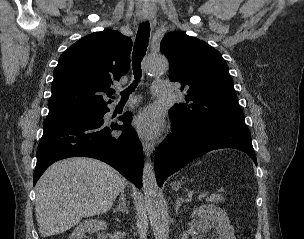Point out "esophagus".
Returning a JSON list of instances; mask_svg holds the SVG:
<instances>
[{
    "mask_svg": "<svg viewBox=\"0 0 304 239\" xmlns=\"http://www.w3.org/2000/svg\"><path fill=\"white\" fill-rule=\"evenodd\" d=\"M143 21H146V19H143ZM142 147L146 156L152 155L155 149L154 144L148 141H142Z\"/></svg>",
    "mask_w": 304,
    "mask_h": 239,
    "instance_id": "obj_1",
    "label": "esophagus"
}]
</instances>
